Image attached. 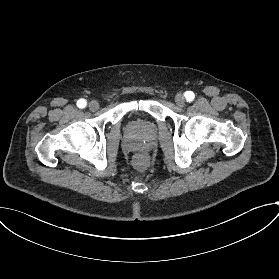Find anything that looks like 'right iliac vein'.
Instances as JSON below:
<instances>
[{
    "mask_svg": "<svg viewBox=\"0 0 279 279\" xmlns=\"http://www.w3.org/2000/svg\"><path fill=\"white\" fill-rule=\"evenodd\" d=\"M88 107L90 110L95 111L99 108V103L96 100L90 101Z\"/></svg>",
    "mask_w": 279,
    "mask_h": 279,
    "instance_id": "63e3f726",
    "label": "right iliac vein"
}]
</instances>
